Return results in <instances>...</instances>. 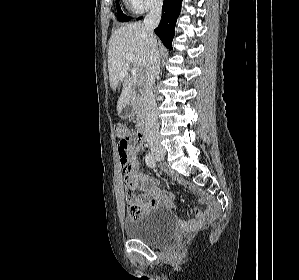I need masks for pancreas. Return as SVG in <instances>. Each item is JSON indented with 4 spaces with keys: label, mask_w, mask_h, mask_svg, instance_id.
Segmentation results:
<instances>
[{
    "label": "pancreas",
    "mask_w": 299,
    "mask_h": 280,
    "mask_svg": "<svg viewBox=\"0 0 299 280\" xmlns=\"http://www.w3.org/2000/svg\"><path fill=\"white\" fill-rule=\"evenodd\" d=\"M131 99L134 111L137 115V126H140L144 117V98L141 93L133 92Z\"/></svg>",
    "instance_id": "1"
}]
</instances>
